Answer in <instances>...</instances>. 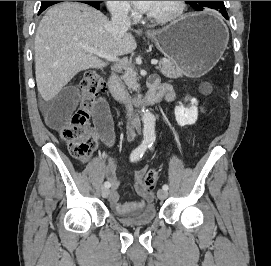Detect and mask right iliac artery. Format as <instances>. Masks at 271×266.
Instances as JSON below:
<instances>
[{
    "instance_id": "1",
    "label": "right iliac artery",
    "mask_w": 271,
    "mask_h": 266,
    "mask_svg": "<svg viewBox=\"0 0 271 266\" xmlns=\"http://www.w3.org/2000/svg\"><path fill=\"white\" fill-rule=\"evenodd\" d=\"M148 147H149L148 142H142L135 150L132 151L130 155V160L137 161L139 158L143 156ZM104 186L109 188L111 184L109 181H106L104 183Z\"/></svg>"
}]
</instances>
